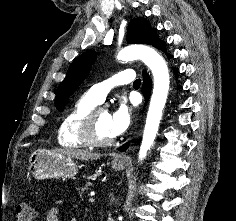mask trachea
<instances>
[{
  "mask_svg": "<svg viewBox=\"0 0 236 221\" xmlns=\"http://www.w3.org/2000/svg\"><path fill=\"white\" fill-rule=\"evenodd\" d=\"M141 83V80L140 79H136L133 83V85H140Z\"/></svg>",
  "mask_w": 236,
  "mask_h": 221,
  "instance_id": "obj_1",
  "label": "trachea"
}]
</instances>
